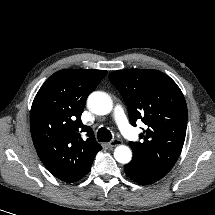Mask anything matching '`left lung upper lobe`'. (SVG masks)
Instances as JSON below:
<instances>
[{
	"mask_svg": "<svg viewBox=\"0 0 215 215\" xmlns=\"http://www.w3.org/2000/svg\"><path fill=\"white\" fill-rule=\"evenodd\" d=\"M127 104L130 122L147 125L142 142H129L133 161L167 174L176 163L186 135L187 106L177 84L153 69L119 70L109 75Z\"/></svg>",
	"mask_w": 215,
	"mask_h": 215,
	"instance_id": "5c2ea615",
	"label": "left lung upper lobe"
}]
</instances>
